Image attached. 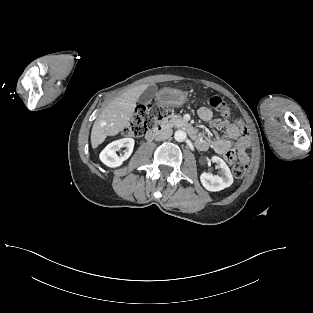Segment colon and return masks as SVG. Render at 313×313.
Here are the masks:
<instances>
[{
  "mask_svg": "<svg viewBox=\"0 0 313 313\" xmlns=\"http://www.w3.org/2000/svg\"><path fill=\"white\" fill-rule=\"evenodd\" d=\"M219 115L228 117L231 114V106L222 98L212 96L208 100ZM166 109L157 104H146L139 106L131 121L123 128L122 134L126 137H140L152 131L157 124L166 116ZM225 159L232 163V171L235 177H242L247 170V158L236 157L228 153Z\"/></svg>",
  "mask_w": 313,
  "mask_h": 313,
  "instance_id": "colon-1",
  "label": "colon"
}]
</instances>
